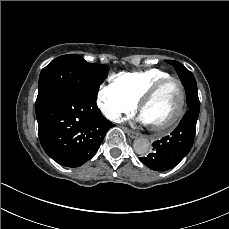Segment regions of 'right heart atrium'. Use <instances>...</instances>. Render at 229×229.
Masks as SVG:
<instances>
[{
  "mask_svg": "<svg viewBox=\"0 0 229 229\" xmlns=\"http://www.w3.org/2000/svg\"><path fill=\"white\" fill-rule=\"evenodd\" d=\"M96 103L107 119L116 122L121 114L134 112L138 102L130 98L113 80L99 87Z\"/></svg>",
  "mask_w": 229,
  "mask_h": 229,
  "instance_id": "d8ad5b80",
  "label": "right heart atrium"
}]
</instances>
